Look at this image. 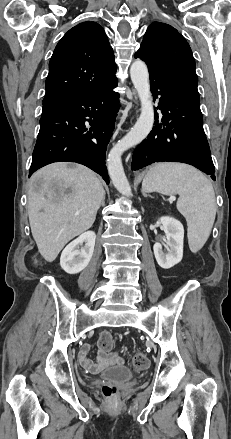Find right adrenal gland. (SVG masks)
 Here are the masks:
<instances>
[{"label":"right adrenal gland","mask_w":231,"mask_h":439,"mask_svg":"<svg viewBox=\"0 0 231 439\" xmlns=\"http://www.w3.org/2000/svg\"><path fill=\"white\" fill-rule=\"evenodd\" d=\"M101 206H105V195H104V197L102 199Z\"/></svg>","instance_id":"obj_1"}]
</instances>
